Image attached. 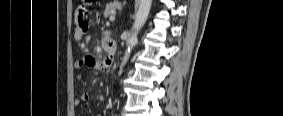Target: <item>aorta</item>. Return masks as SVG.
<instances>
[{"instance_id": "aorta-1", "label": "aorta", "mask_w": 283, "mask_h": 116, "mask_svg": "<svg viewBox=\"0 0 283 116\" xmlns=\"http://www.w3.org/2000/svg\"><path fill=\"white\" fill-rule=\"evenodd\" d=\"M151 4H152V0H139L138 11L135 15V21L133 24V33L127 41V51L125 52V55L123 57L119 74L122 73L123 67L128 61L132 49L138 43L137 35L147 20V17L150 12Z\"/></svg>"}]
</instances>
